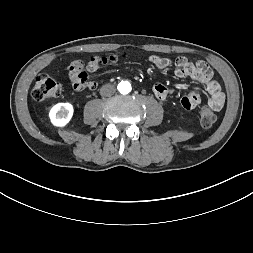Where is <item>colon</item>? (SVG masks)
Segmentation results:
<instances>
[{"label":"colon","mask_w":253,"mask_h":253,"mask_svg":"<svg viewBox=\"0 0 253 253\" xmlns=\"http://www.w3.org/2000/svg\"><path fill=\"white\" fill-rule=\"evenodd\" d=\"M116 55H98L90 59L87 66L81 60H74L69 68L68 89L72 93H80L95 90L100 82L97 78H88L87 70L94 71L101 65L116 62ZM61 92L60 83L49 75H39L31 89L32 98L36 101H44L48 98L56 97ZM199 119L202 127L210 128L216 122V114L209 106H203L199 113Z\"/></svg>","instance_id":"1"}]
</instances>
